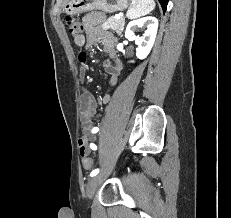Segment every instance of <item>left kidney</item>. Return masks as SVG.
<instances>
[{
	"label": "left kidney",
	"mask_w": 231,
	"mask_h": 218,
	"mask_svg": "<svg viewBox=\"0 0 231 218\" xmlns=\"http://www.w3.org/2000/svg\"><path fill=\"white\" fill-rule=\"evenodd\" d=\"M138 28H146L142 37H136L134 32ZM158 30V20L155 17L147 16L137 20L129 22L125 31V38L138 45L136 49V56L139 59H144L150 53L153 44L155 42L156 34Z\"/></svg>",
	"instance_id": "left-kidney-1"
}]
</instances>
